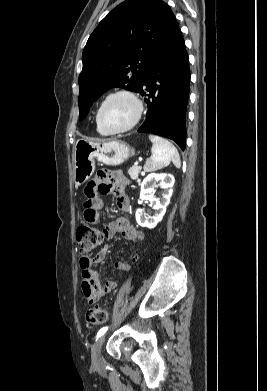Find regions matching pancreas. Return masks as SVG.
I'll use <instances>...</instances> for the list:
<instances>
[{"label":"pancreas","instance_id":"obj_1","mask_svg":"<svg viewBox=\"0 0 267 391\" xmlns=\"http://www.w3.org/2000/svg\"><path fill=\"white\" fill-rule=\"evenodd\" d=\"M141 166H132L129 170H128V174L129 176L131 177V179L135 180L138 178L139 176V173L141 171Z\"/></svg>","mask_w":267,"mask_h":391}]
</instances>
